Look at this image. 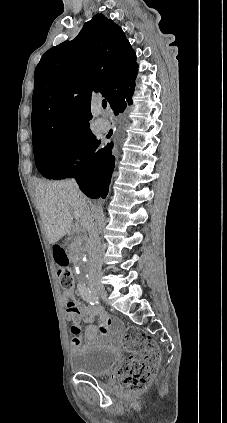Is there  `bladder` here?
I'll list each match as a JSON object with an SVG mask.
<instances>
[{"label":"bladder","instance_id":"obj_1","mask_svg":"<svg viewBox=\"0 0 227 423\" xmlns=\"http://www.w3.org/2000/svg\"><path fill=\"white\" fill-rule=\"evenodd\" d=\"M71 370L92 377L111 375L119 361V355L114 350L90 348L72 358Z\"/></svg>","mask_w":227,"mask_h":423}]
</instances>
